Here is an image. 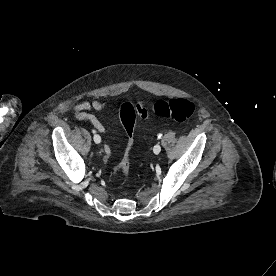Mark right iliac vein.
I'll list each match as a JSON object with an SVG mask.
<instances>
[{
    "instance_id": "1",
    "label": "right iliac vein",
    "mask_w": 276,
    "mask_h": 276,
    "mask_svg": "<svg viewBox=\"0 0 276 276\" xmlns=\"http://www.w3.org/2000/svg\"><path fill=\"white\" fill-rule=\"evenodd\" d=\"M99 137H100V136H99L98 134H95L94 137H93V138H94V141H96V139H98Z\"/></svg>"
}]
</instances>
